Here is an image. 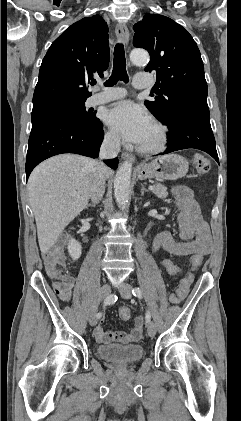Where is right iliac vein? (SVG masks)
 Here are the masks:
<instances>
[{"label": "right iliac vein", "instance_id": "right-iliac-vein-1", "mask_svg": "<svg viewBox=\"0 0 241 421\" xmlns=\"http://www.w3.org/2000/svg\"><path fill=\"white\" fill-rule=\"evenodd\" d=\"M110 292H111L110 286L108 284H104L99 291V300H102L108 297ZM96 315H97L96 311L94 310L89 317V323L91 326H95L97 324Z\"/></svg>", "mask_w": 241, "mask_h": 421}]
</instances>
